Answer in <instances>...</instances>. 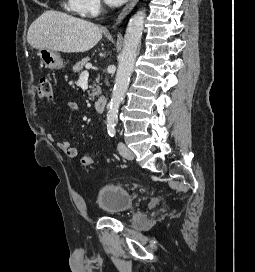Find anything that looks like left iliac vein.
I'll list each match as a JSON object with an SVG mask.
<instances>
[{
  "label": "left iliac vein",
  "instance_id": "4c4485c4",
  "mask_svg": "<svg viewBox=\"0 0 255 272\" xmlns=\"http://www.w3.org/2000/svg\"><path fill=\"white\" fill-rule=\"evenodd\" d=\"M118 151L124 158L132 160L134 158L133 152L122 142L118 143Z\"/></svg>",
  "mask_w": 255,
  "mask_h": 272
}]
</instances>
